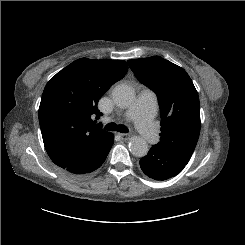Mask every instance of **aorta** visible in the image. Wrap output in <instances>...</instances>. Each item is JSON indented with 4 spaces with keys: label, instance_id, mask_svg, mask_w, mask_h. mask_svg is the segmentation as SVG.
Masks as SVG:
<instances>
[{
    "label": "aorta",
    "instance_id": "aorta-1",
    "mask_svg": "<svg viewBox=\"0 0 245 245\" xmlns=\"http://www.w3.org/2000/svg\"><path fill=\"white\" fill-rule=\"evenodd\" d=\"M115 104L121 108L128 107L134 100V90L132 87L120 84L112 92ZM129 150L136 157H144L149 151L148 143L140 136L130 138Z\"/></svg>",
    "mask_w": 245,
    "mask_h": 245
}]
</instances>
